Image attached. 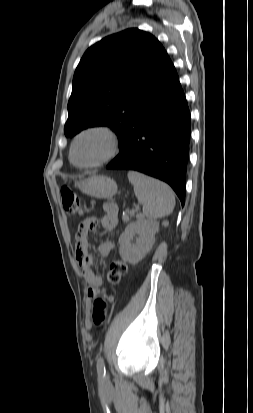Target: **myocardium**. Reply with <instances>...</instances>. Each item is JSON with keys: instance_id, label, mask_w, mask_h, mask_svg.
Returning a JSON list of instances; mask_svg holds the SVG:
<instances>
[{"instance_id": "myocardium-1", "label": "myocardium", "mask_w": 253, "mask_h": 413, "mask_svg": "<svg viewBox=\"0 0 253 413\" xmlns=\"http://www.w3.org/2000/svg\"><path fill=\"white\" fill-rule=\"evenodd\" d=\"M89 134H97V135L103 136L107 142V148L104 154L96 161L89 163V164H80L74 158L75 147H76L77 142L83 136H86ZM119 149H120V142H119L117 134L114 132L112 128L106 125H93V126H89V127L82 129L74 136L71 142L69 156H70L71 162L79 168H85V169L95 168L112 160L118 154Z\"/></svg>"}]
</instances>
